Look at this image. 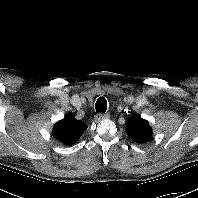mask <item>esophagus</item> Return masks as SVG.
<instances>
[{"label":"esophagus","mask_w":198,"mask_h":198,"mask_svg":"<svg viewBox=\"0 0 198 198\" xmlns=\"http://www.w3.org/2000/svg\"><path fill=\"white\" fill-rule=\"evenodd\" d=\"M110 118V114H104V113H98L96 116H95V119L97 121H102V120H106V119H109Z\"/></svg>","instance_id":"1"}]
</instances>
